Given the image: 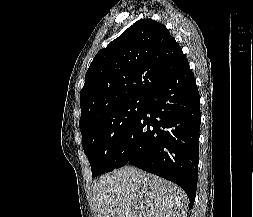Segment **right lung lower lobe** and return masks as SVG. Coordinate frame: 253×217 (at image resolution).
<instances>
[{
  "label": "right lung lower lobe",
  "instance_id": "obj_1",
  "mask_svg": "<svg viewBox=\"0 0 253 217\" xmlns=\"http://www.w3.org/2000/svg\"><path fill=\"white\" fill-rule=\"evenodd\" d=\"M145 107L114 155L110 171L132 164L183 188L194 205L200 97L186 60L145 97Z\"/></svg>",
  "mask_w": 253,
  "mask_h": 217
}]
</instances>
